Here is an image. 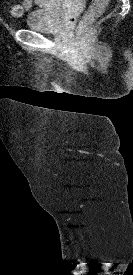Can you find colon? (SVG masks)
<instances>
[{
  "label": "colon",
  "mask_w": 133,
  "mask_h": 275,
  "mask_svg": "<svg viewBox=\"0 0 133 275\" xmlns=\"http://www.w3.org/2000/svg\"><path fill=\"white\" fill-rule=\"evenodd\" d=\"M108 0H92V4L90 10L88 12L89 17H97L100 15L104 7L106 6ZM29 8V5L26 0H24L23 4H14L10 7V14L15 17L21 16L25 10ZM73 21V19H71Z\"/></svg>",
  "instance_id": "colon-1"
}]
</instances>
